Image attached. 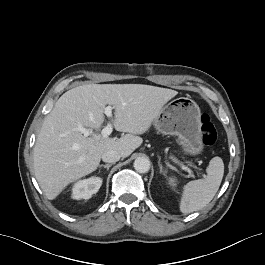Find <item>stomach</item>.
Segmentation results:
<instances>
[{"label": "stomach", "mask_w": 265, "mask_h": 265, "mask_svg": "<svg viewBox=\"0 0 265 265\" xmlns=\"http://www.w3.org/2000/svg\"><path fill=\"white\" fill-rule=\"evenodd\" d=\"M155 128L165 135H175L185 153L197 155L203 151L201 111L195 101L179 97L162 107L154 120Z\"/></svg>", "instance_id": "obj_1"}]
</instances>
